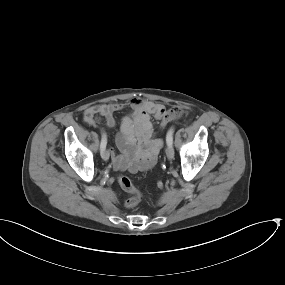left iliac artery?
I'll list each match as a JSON object with an SVG mask.
<instances>
[{
	"mask_svg": "<svg viewBox=\"0 0 285 285\" xmlns=\"http://www.w3.org/2000/svg\"><path fill=\"white\" fill-rule=\"evenodd\" d=\"M173 133H174V127H171L166 135V142L168 145H172L173 143Z\"/></svg>",
	"mask_w": 285,
	"mask_h": 285,
	"instance_id": "1",
	"label": "left iliac artery"
}]
</instances>
